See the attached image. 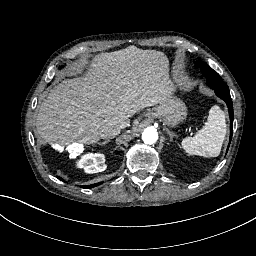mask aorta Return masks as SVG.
<instances>
[{"instance_id": "obj_1", "label": "aorta", "mask_w": 256, "mask_h": 256, "mask_svg": "<svg viewBox=\"0 0 256 256\" xmlns=\"http://www.w3.org/2000/svg\"><path fill=\"white\" fill-rule=\"evenodd\" d=\"M144 133H146L145 139L143 137ZM158 139H159L158 132L153 127L146 128L142 133V140L144 141L145 144L152 145L156 141H158Z\"/></svg>"}]
</instances>
